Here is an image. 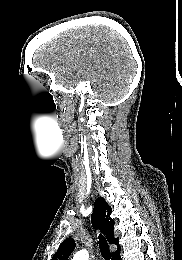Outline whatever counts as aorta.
<instances>
[{"mask_svg":"<svg viewBox=\"0 0 182 260\" xmlns=\"http://www.w3.org/2000/svg\"><path fill=\"white\" fill-rule=\"evenodd\" d=\"M72 260H89V254L85 249H82L74 254Z\"/></svg>","mask_w":182,"mask_h":260,"instance_id":"aorta-1","label":"aorta"}]
</instances>
